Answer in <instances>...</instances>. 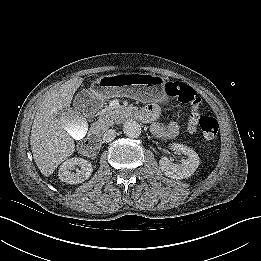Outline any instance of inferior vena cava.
<instances>
[{"instance_id":"obj_1","label":"inferior vena cava","mask_w":261,"mask_h":261,"mask_svg":"<svg viewBox=\"0 0 261 261\" xmlns=\"http://www.w3.org/2000/svg\"><path fill=\"white\" fill-rule=\"evenodd\" d=\"M116 137V131L114 129L107 130L103 135L104 142H111Z\"/></svg>"}]
</instances>
